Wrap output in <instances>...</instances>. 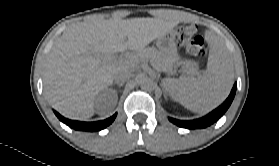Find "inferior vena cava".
I'll list each match as a JSON object with an SVG mask.
<instances>
[{
  "label": "inferior vena cava",
  "instance_id": "inferior-vena-cava-1",
  "mask_svg": "<svg viewBox=\"0 0 279 166\" xmlns=\"http://www.w3.org/2000/svg\"><path fill=\"white\" fill-rule=\"evenodd\" d=\"M132 76V69L129 67H122L114 74V81L117 83L124 82Z\"/></svg>",
  "mask_w": 279,
  "mask_h": 166
}]
</instances>
